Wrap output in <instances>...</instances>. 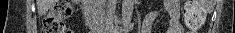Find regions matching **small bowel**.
Wrapping results in <instances>:
<instances>
[{"instance_id": "obj_1", "label": "small bowel", "mask_w": 235, "mask_h": 33, "mask_svg": "<svg viewBox=\"0 0 235 33\" xmlns=\"http://www.w3.org/2000/svg\"><path fill=\"white\" fill-rule=\"evenodd\" d=\"M164 10L168 15L167 27L165 33H190L185 32L180 23V2L178 0H166ZM158 16V12L153 11L146 15L141 33H151L152 25Z\"/></svg>"}]
</instances>
